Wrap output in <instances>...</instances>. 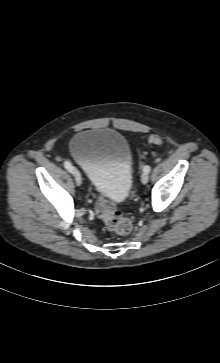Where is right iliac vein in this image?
<instances>
[{
  "instance_id": "right-iliac-vein-1",
  "label": "right iliac vein",
  "mask_w": 220,
  "mask_h": 363,
  "mask_svg": "<svg viewBox=\"0 0 220 363\" xmlns=\"http://www.w3.org/2000/svg\"><path fill=\"white\" fill-rule=\"evenodd\" d=\"M73 176L75 179V182L77 183V185H81L82 184V177L80 172L77 169L73 170Z\"/></svg>"
}]
</instances>
